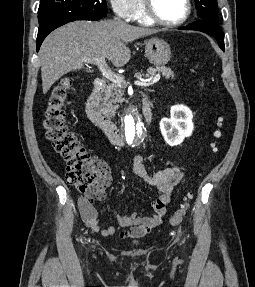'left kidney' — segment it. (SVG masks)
Wrapping results in <instances>:
<instances>
[{
	"label": "left kidney",
	"instance_id": "obj_1",
	"mask_svg": "<svg viewBox=\"0 0 255 287\" xmlns=\"http://www.w3.org/2000/svg\"><path fill=\"white\" fill-rule=\"evenodd\" d=\"M170 112L171 118H162L160 122L161 134L167 144L179 145L193 132V114L187 106H172Z\"/></svg>",
	"mask_w": 255,
	"mask_h": 287
}]
</instances>
